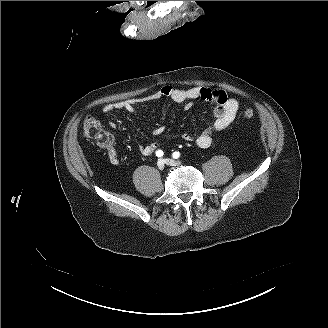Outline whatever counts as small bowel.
I'll return each instance as SVG.
<instances>
[{
  "label": "small bowel",
  "instance_id": "obj_1",
  "mask_svg": "<svg viewBox=\"0 0 328 328\" xmlns=\"http://www.w3.org/2000/svg\"><path fill=\"white\" fill-rule=\"evenodd\" d=\"M163 98H168L176 103H184L186 110L191 109V101L196 99H202L214 104V120L208 128L203 130L198 136H194L193 134L187 132L182 134L183 140L187 142L195 141L200 148H208L213 142V132L226 129L236 118L239 109V102L235 98L228 97L227 94L221 90H214L205 87L180 89L165 85L158 91L145 97L129 98L108 103L103 107V112L110 113L114 110L135 112L137 106L149 101L160 100ZM108 125L111 128L115 127L114 122H109ZM164 132L165 128L162 126L152 129V134L154 135H161ZM158 147L159 144L157 142H150L140 146V153L143 156H149L154 153ZM107 156L112 165L120 164L118 152L112 145L107 147Z\"/></svg>",
  "mask_w": 328,
  "mask_h": 328
}]
</instances>
